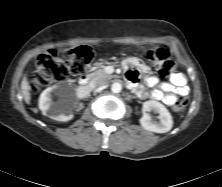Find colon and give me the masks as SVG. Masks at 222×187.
<instances>
[{
  "label": "colon",
  "mask_w": 222,
  "mask_h": 187,
  "mask_svg": "<svg viewBox=\"0 0 222 187\" xmlns=\"http://www.w3.org/2000/svg\"><path fill=\"white\" fill-rule=\"evenodd\" d=\"M91 59L92 52L86 47L65 50L61 54L53 50L42 54L37 60L34 78L30 83L31 91L37 92L53 82L63 81L70 76H80L89 67ZM147 59L155 65V72L160 76H168L174 71L175 64L165 48L148 51ZM188 103L187 97H181L175 102L173 109L182 113Z\"/></svg>",
  "instance_id": "1"
}]
</instances>
